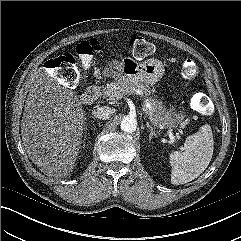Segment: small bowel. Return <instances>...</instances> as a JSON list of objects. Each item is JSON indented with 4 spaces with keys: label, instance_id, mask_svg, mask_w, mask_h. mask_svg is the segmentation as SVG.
I'll return each instance as SVG.
<instances>
[{
    "label": "small bowel",
    "instance_id": "small-bowel-1",
    "mask_svg": "<svg viewBox=\"0 0 241 241\" xmlns=\"http://www.w3.org/2000/svg\"><path fill=\"white\" fill-rule=\"evenodd\" d=\"M93 48L96 51L99 50V46L96 43L90 44L88 42H83V43L79 44V46L76 49L79 59H80L81 66L85 70L91 68V66L93 65V55H92ZM111 65L112 66L118 65V61H116V60L112 61Z\"/></svg>",
    "mask_w": 241,
    "mask_h": 241
}]
</instances>
